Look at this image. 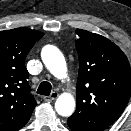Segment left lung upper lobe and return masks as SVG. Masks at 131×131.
<instances>
[{
	"instance_id": "obj_1",
	"label": "left lung upper lobe",
	"mask_w": 131,
	"mask_h": 131,
	"mask_svg": "<svg viewBox=\"0 0 131 131\" xmlns=\"http://www.w3.org/2000/svg\"><path fill=\"white\" fill-rule=\"evenodd\" d=\"M79 54L76 111L69 117L88 131H103L124 111L131 94L125 54L107 38L76 30Z\"/></svg>"
}]
</instances>
